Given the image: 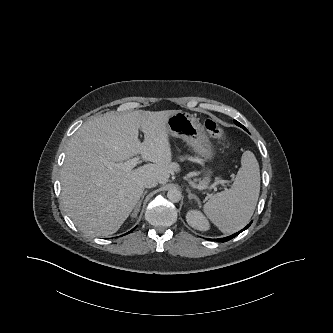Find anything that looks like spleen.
Listing matches in <instances>:
<instances>
[{
	"mask_svg": "<svg viewBox=\"0 0 333 333\" xmlns=\"http://www.w3.org/2000/svg\"><path fill=\"white\" fill-rule=\"evenodd\" d=\"M259 192L258 161L251 151H245L232 187L213 195L204 204L203 210L223 233L232 234L249 222L257 205Z\"/></svg>",
	"mask_w": 333,
	"mask_h": 333,
	"instance_id": "obj_1",
	"label": "spleen"
}]
</instances>
